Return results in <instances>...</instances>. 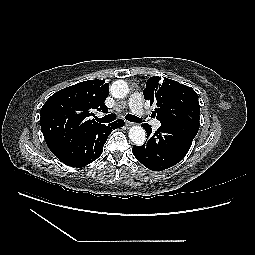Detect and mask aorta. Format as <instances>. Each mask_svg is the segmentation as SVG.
Instances as JSON below:
<instances>
[{
    "mask_svg": "<svg viewBox=\"0 0 255 255\" xmlns=\"http://www.w3.org/2000/svg\"><path fill=\"white\" fill-rule=\"evenodd\" d=\"M110 92L114 98H123L129 92L128 84L123 80H117L112 83ZM129 138L135 145H143L146 141V132L139 125L132 126L129 129Z\"/></svg>",
    "mask_w": 255,
    "mask_h": 255,
    "instance_id": "762f6f07",
    "label": "aorta"
}]
</instances>
